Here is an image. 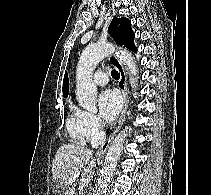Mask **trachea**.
Masks as SVG:
<instances>
[{
  "label": "trachea",
  "instance_id": "1",
  "mask_svg": "<svg viewBox=\"0 0 211 195\" xmlns=\"http://www.w3.org/2000/svg\"><path fill=\"white\" fill-rule=\"evenodd\" d=\"M111 74H112V77L116 80H118L120 78L119 73L114 69H112Z\"/></svg>",
  "mask_w": 211,
  "mask_h": 195
}]
</instances>
